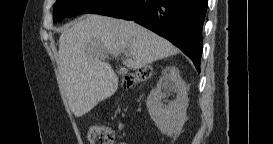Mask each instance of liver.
<instances>
[{
	"label": "liver",
	"instance_id": "liver-1",
	"mask_svg": "<svg viewBox=\"0 0 273 144\" xmlns=\"http://www.w3.org/2000/svg\"><path fill=\"white\" fill-rule=\"evenodd\" d=\"M123 52H126L123 64L136 70L177 54L178 49L133 21L101 15L88 14L62 31L59 72L76 117H82L115 93L118 77L105 59L108 54L116 56Z\"/></svg>",
	"mask_w": 273,
	"mask_h": 144
}]
</instances>
